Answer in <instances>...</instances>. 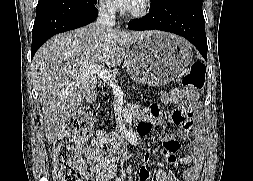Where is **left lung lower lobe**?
Segmentation results:
<instances>
[{
    "label": "left lung lower lobe",
    "instance_id": "0a47b994",
    "mask_svg": "<svg viewBox=\"0 0 253 181\" xmlns=\"http://www.w3.org/2000/svg\"><path fill=\"white\" fill-rule=\"evenodd\" d=\"M131 30H162L190 41L207 60V39L202 2L176 0L158 10H149L142 19L130 21Z\"/></svg>",
    "mask_w": 253,
    "mask_h": 181
}]
</instances>
